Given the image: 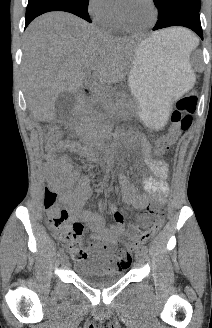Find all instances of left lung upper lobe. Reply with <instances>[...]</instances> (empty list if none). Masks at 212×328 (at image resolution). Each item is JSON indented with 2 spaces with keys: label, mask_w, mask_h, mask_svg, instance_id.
Returning <instances> with one entry per match:
<instances>
[{
  "label": "left lung upper lobe",
  "mask_w": 212,
  "mask_h": 328,
  "mask_svg": "<svg viewBox=\"0 0 212 328\" xmlns=\"http://www.w3.org/2000/svg\"><path fill=\"white\" fill-rule=\"evenodd\" d=\"M153 1L158 8L159 14L163 13L167 5L173 1H183L195 7L197 10H200V0H153Z\"/></svg>",
  "instance_id": "5c2ea615"
}]
</instances>
